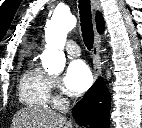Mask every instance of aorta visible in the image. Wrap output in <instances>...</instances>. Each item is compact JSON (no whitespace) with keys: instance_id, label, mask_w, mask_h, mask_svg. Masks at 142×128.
<instances>
[{"instance_id":"1","label":"aorta","mask_w":142,"mask_h":128,"mask_svg":"<svg viewBox=\"0 0 142 128\" xmlns=\"http://www.w3.org/2000/svg\"><path fill=\"white\" fill-rule=\"evenodd\" d=\"M77 19L68 11L56 10L46 24V46L42 65L49 73H60L65 67V47L67 34L76 26Z\"/></svg>"}]
</instances>
